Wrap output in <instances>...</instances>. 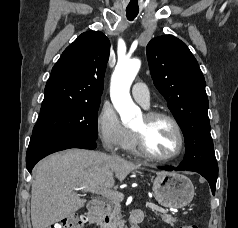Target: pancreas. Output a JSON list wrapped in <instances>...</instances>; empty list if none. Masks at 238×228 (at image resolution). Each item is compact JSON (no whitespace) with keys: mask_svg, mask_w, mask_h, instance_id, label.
Masks as SVG:
<instances>
[{"mask_svg":"<svg viewBox=\"0 0 238 228\" xmlns=\"http://www.w3.org/2000/svg\"><path fill=\"white\" fill-rule=\"evenodd\" d=\"M122 200H111L107 204V208L105 210V216L108 217L109 222H104V228H123L124 220L121 216V205L120 202ZM161 217L162 221L173 226L176 222V218L172 217L171 215L167 214H157Z\"/></svg>","mask_w":238,"mask_h":228,"instance_id":"obj_1","label":"pancreas"}]
</instances>
